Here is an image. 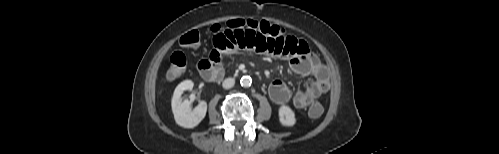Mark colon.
Returning <instances> with one entry per match:
<instances>
[{
    "label": "colon",
    "instance_id": "1",
    "mask_svg": "<svg viewBox=\"0 0 499 154\" xmlns=\"http://www.w3.org/2000/svg\"><path fill=\"white\" fill-rule=\"evenodd\" d=\"M228 29H254L258 30L263 34L278 37L284 35V31L278 25L272 24L265 20H244L236 19L227 23ZM224 30L221 25H215L211 28V31L216 34ZM199 33L195 30L185 33L180 38V45L186 48L196 47L199 43ZM187 59L183 52L176 51L170 57V64L167 71V76L170 79H176L180 77L186 70ZM323 113V106L319 102H313L308 110V114L311 118H319Z\"/></svg>",
    "mask_w": 499,
    "mask_h": 154
}]
</instances>
